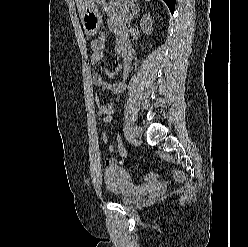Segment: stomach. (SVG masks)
Masks as SVG:
<instances>
[{
	"label": "stomach",
	"instance_id": "obj_1",
	"mask_svg": "<svg viewBox=\"0 0 248 247\" xmlns=\"http://www.w3.org/2000/svg\"><path fill=\"white\" fill-rule=\"evenodd\" d=\"M136 1L137 0H91L84 7L80 16L85 34L94 36L102 24V16L98 7L108 12L114 8L125 9Z\"/></svg>",
	"mask_w": 248,
	"mask_h": 247
}]
</instances>
